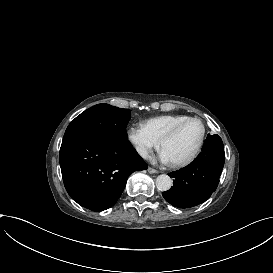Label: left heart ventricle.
I'll return each mask as SVG.
<instances>
[{
    "label": "left heart ventricle",
    "instance_id": "obj_1",
    "mask_svg": "<svg viewBox=\"0 0 273 273\" xmlns=\"http://www.w3.org/2000/svg\"><path fill=\"white\" fill-rule=\"evenodd\" d=\"M203 127L199 121H191L182 127L176 136L163 146L170 162H178L188 158L195 150Z\"/></svg>",
    "mask_w": 273,
    "mask_h": 273
}]
</instances>
